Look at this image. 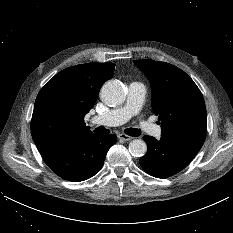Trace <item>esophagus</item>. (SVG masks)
I'll return each mask as SVG.
<instances>
[{
  "instance_id": "1",
  "label": "esophagus",
  "mask_w": 233,
  "mask_h": 233,
  "mask_svg": "<svg viewBox=\"0 0 233 233\" xmlns=\"http://www.w3.org/2000/svg\"><path fill=\"white\" fill-rule=\"evenodd\" d=\"M118 138H119L120 140H122V141H130V140L133 139V137H131V136H129V135H126V134H123V133L119 134V135H118Z\"/></svg>"
}]
</instances>
